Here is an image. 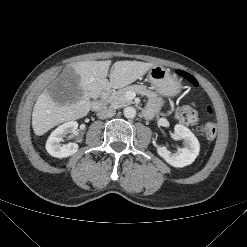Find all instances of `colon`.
Returning a JSON list of instances; mask_svg holds the SVG:
<instances>
[{"label": "colon", "instance_id": "obj_1", "mask_svg": "<svg viewBox=\"0 0 247 247\" xmlns=\"http://www.w3.org/2000/svg\"><path fill=\"white\" fill-rule=\"evenodd\" d=\"M179 75L185 78L192 86H198L197 81L192 76L183 72H179ZM207 113L211 114L212 110L208 108ZM177 118L182 123L194 124L198 120V112L193 107L185 106L177 112ZM201 133L207 140H213L217 133L216 126L213 123H206L201 129Z\"/></svg>", "mask_w": 247, "mask_h": 247}]
</instances>
